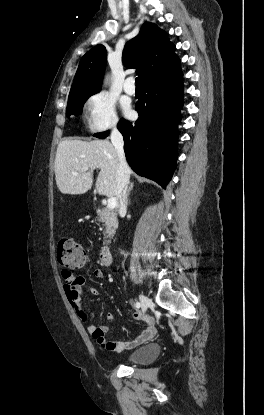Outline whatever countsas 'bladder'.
I'll return each instance as SVG.
<instances>
[{"label": "bladder", "instance_id": "31cf9c89", "mask_svg": "<svg viewBox=\"0 0 264 415\" xmlns=\"http://www.w3.org/2000/svg\"><path fill=\"white\" fill-rule=\"evenodd\" d=\"M161 353L158 344L145 345L128 356L127 361L134 365H146L154 361Z\"/></svg>", "mask_w": 264, "mask_h": 415}]
</instances>
